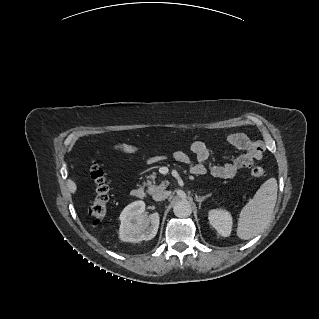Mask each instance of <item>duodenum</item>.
Wrapping results in <instances>:
<instances>
[{
  "instance_id": "410a0bca",
  "label": "duodenum",
  "mask_w": 319,
  "mask_h": 319,
  "mask_svg": "<svg viewBox=\"0 0 319 319\" xmlns=\"http://www.w3.org/2000/svg\"><path fill=\"white\" fill-rule=\"evenodd\" d=\"M131 195L136 199H143L145 197V190L142 187L134 188L131 191Z\"/></svg>"
}]
</instances>
